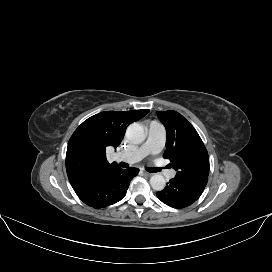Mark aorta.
Returning <instances> with one entry per match:
<instances>
[{"mask_svg":"<svg viewBox=\"0 0 272 272\" xmlns=\"http://www.w3.org/2000/svg\"><path fill=\"white\" fill-rule=\"evenodd\" d=\"M126 137L133 144L142 143L146 138L143 126L139 123L130 124L126 130ZM150 185L154 190L161 191L166 185L165 178L160 174H154L150 178Z\"/></svg>","mask_w":272,"mask_h":272,"instance_id":"obj_1","label":"aorta"}]
</instances>
